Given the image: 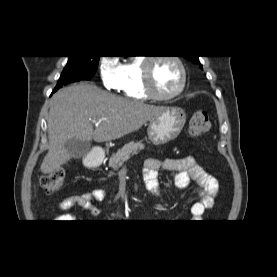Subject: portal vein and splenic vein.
<instances>
[{"label":"portal vein and splenic vein","mask_w":277,"mask_h":277,"mask_svg":"<svg viewBox=\"0 0 277 277\" xmlns=\"http://www.w3.org/2000/svg\"><path fill=\"white\" fill-rule=\"evenodd\" d=\"M93 123H94L95 125H98V123H97L96 121H93Z\"/></svg>","instance_id":"obj_1"}]
</instances>
